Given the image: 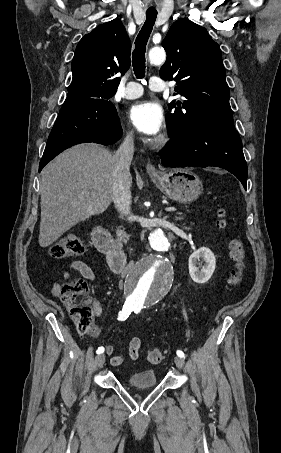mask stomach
<instances>
[{
	"instance_id": "obj_1",
	"label": "stomach",
	"mask_w": 281,
	"mask_h": 453,
	"mask_svg": "<svg viewBox=\"0 0 281 453\" xmlns=\"http://www.w3.org/2000/svg\"><path fill=\"white\" fill-rule=\"evenodd\" d=\"M150 176L166 196L177 202H193L201 194L202 180L190 168H169Z\"/></svg>"
}]
</instances>
